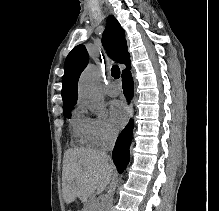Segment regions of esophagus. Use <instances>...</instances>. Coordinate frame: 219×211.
I'll list each match as a JSON object with an SVG mask.
<instances>
[{
    "label": "esophagus",
    "instance_id": "1",
    "mask_svg": "<svg viewBox=\"0 0 219 211\" xmlns=\"http://www.w3.org/2000/svg\"><path fill=\"white\" fill-rule=\"evenodd\" d=\"M130 116H131V117L133 116V110H132V108H131V110H130Z\"/></svg>",
    "mask_w": 219,
    "mask_h": 211
}]
</instances>
